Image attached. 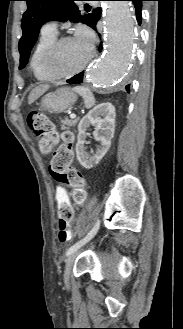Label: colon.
Wrapping results in <instances>:
<instances>
[{
    "mask_svg": "<svg viewBox=\"0 0 183 329\" xmlns=\"http://www.w3.org/2000/svg\"><path fill=\"white\" fill-rule=\"evenodd\" d=\"M27 125L29 129L38 137L39 147L42 153L52 152L58 142V134L49 118L39 111H32L28 114ZM62 143L54 151L49 165V171L60 185L71 187L72 197L76 204H81L85 199V180L81 172L72 165L73 162V134L64 132ZM62 199H57L61 201ZM70 201L69 199H65ZM72 218H59L58 238L61 242L70 239L71 233L67 228Z\"/></svg>",
    "mask_w": 183,
    "mask_h": 329,
    "instance_id": "1",
    "label": "colon"
}]
</instances>
